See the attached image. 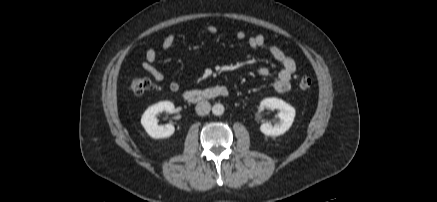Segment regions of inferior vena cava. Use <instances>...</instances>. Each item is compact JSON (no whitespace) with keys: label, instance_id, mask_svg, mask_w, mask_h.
I'll return each instance as SVG.
<instances>
[{"label":"inferior vena cava","instance_id":"1","mask_svg":"<svg viewBox=\"0 0 437 202\" xmlns=\"http://www.w3.org/2000/svg\"><path fill=\"white\" fill-rule=\"evenodd\" d=\"M195 110L198 115H207L211 110V105L208 101H200L197 103Z\"/></svg>","mask_w":437,"mask_h":202}]
</instances>
